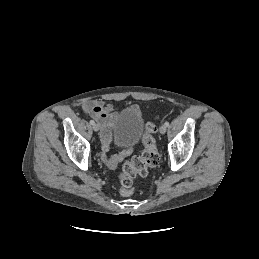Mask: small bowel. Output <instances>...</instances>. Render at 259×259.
<instances>
[{
  "label": "small bowel",
  "instance_id": "c3829d8e",
  "mask_svg": "<svg viewBox=\"0 0 259 259\" xmlns=\"http://www.w3.org/2000/svg\"><path fill=\"white\" fill-rule=\"evenodd\" d=\"M132 109L135 112L139 111L137 106H133ZM83 110L92 118H94L99 123L102 129V135H101L102 144H103L102 157L105 164L111 169L116 168L117 164L125 156L129 155L132 152V150L130 149L125 150L121 152L119 155H115L110 158L106 156V152L108 150L109 143H110V129L115 118L112 105L104 101L88 100L83 103Z\"/></svg>",
  "mask_w": 259,
  "mask_h": 259
}]
</instances>
